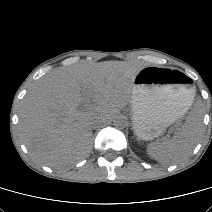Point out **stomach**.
<instances>
[{
    "label": "stomach",
    "mask_w": 212,
    "mask_h": 212,
    "mask_svg": "<svg viewBox=\"0 0 212 212\" xmlns=\"http://www.w3.org/2000/svg\"><path fill=\"white\" fill-rule=\"evenodd\" d=\"M183 73L157 66L140 69L134 78L131 98L136 136L152 140L181 118L191 107L195 88Z\"/></svg>",
    "instance_id": "obj_1"
}]
</instances>
